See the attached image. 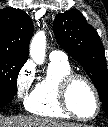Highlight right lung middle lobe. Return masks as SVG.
Returning a JSON list of instances; mask_svg holds the SVG:
<instances>
[{"mask_svg":"<svg viewBox=\"0 0 108 127\" xmlns=\"http://www.w3.org/2000/svg\"><path fill=\"white\" fill-rule=\"evenodd\" d=\"M26 60L0 54V97L13 98L17 76Z\"/></svg>","mask_w":108,"mask_h":127,"instance_id":"right-lung-middle-lobe-1","label":"right lung middle lobe"}]
</instances>
